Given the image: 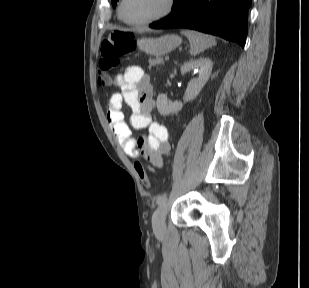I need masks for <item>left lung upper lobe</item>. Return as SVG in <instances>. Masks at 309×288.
<instances>
[{
    "label": "left lung upper lobe",
    "mask_w": 309,
    "mask_h": 288,
    "mask_svg": "<svg viewBox=\"0 0 309 288\" xmlns=\"http://www.w3.org/2000/svg\"><path fill=\"white\" fill-rule=\"evenodd\" d=\"M117 1H118V0H112V5H113V7L116 6ZM174 1H175V0H174Z\"/></svg>",
    "instance_id": "obj_1"
}]
</instances>
